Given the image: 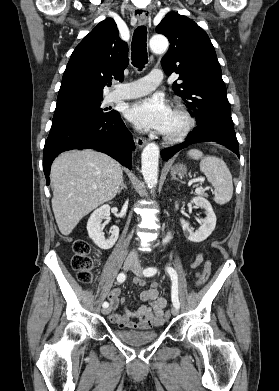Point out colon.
<instances>
[{
	"instance_id": "5ec220e1",
	"label": "colon",
	"mask_w": 279,
	"mask_h": 391,
	"mask_svg": "<svg viewBox=\"0 0 279 391\" xmlns=\"http://www.w3.org/2000/svg\"><path fill=\"white\" fill-rule=\"evenodd\" d=\"M73 251L72 267L76 272L78 280L83 283L91 282L98 250L93 248L85 239H78L73 244ZM210 274L211 262L207 260L204 265V270L197 281V286L204 285L209 279ZM170 315V311H167L165 318L168 319Z\"/></svg>"
}]
</instances>
